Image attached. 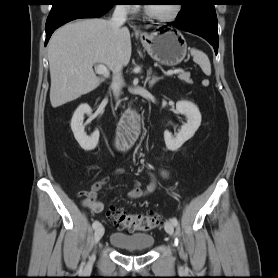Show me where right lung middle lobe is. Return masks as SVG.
Instances as JSON below:
<instances>
[{"label": "right lung middle lobe", "mask_w": 278, "mask_h": 278, "mask_svg": "<svg viewBox=\"0 0 278 278\" xmlns=\"http://www.w3.org/2000/svg\"><path fill=\"white\" fill-rule=\"evenodd\" d=\"M53 5H56L60 3L63 0H53ZM82 1H87V2H102V3H113L116 2V0H82Z\"/></svg>", "instance_id": "dd1d6c3e"}]
</instances>
